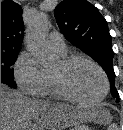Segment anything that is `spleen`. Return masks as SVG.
Here are the masks:
<instances>
[{"instance_id":"3e777b00","label":"spleen","mask_w":123,"mask_h":130,"mask_svg":"<svg viewBox=\"0 0 123 130\" xmlns=\"http://www.w3.org/2000/svg\"><path fill=\"white\" fill-rule=\"evenodd\" d=\"M108 130H118L116 124H111L108 128Z\"/></svg>"}]
</instances>
